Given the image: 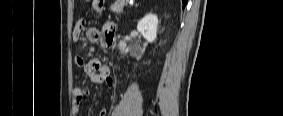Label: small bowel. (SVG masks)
<instances>
[{
	"instance_id": "small-bowel-1",
	"label": "small bowel",
	"mask_w": 283,
	"mask_h": 116,
	"mask_svg": "<svg viewBox=\"0 0 283 116\" xmlns=\"http://www.w3.org/2000/svg\"><path fill=\"white\" fill-rule=\"evenodd\" d=\"M94 4L95 9L100 11L103 8L104 1L95 0ZM84 26V20L78 21L72 33L74 41H79ZM114 31L115 25L108 21L101 28L91 27L87 29L86 35L90 41L100 42L102 45L110 47L114 44ZM75 63L78 67L84 69L86 76L91 82L104 84L108 89H111L114 86V79L111 76L109 68L105 66L100 59L95 58L86 61L82 56H77L75 58ZM72 92L74 97L73 112L74 115H79L80 107L84 99L90 95V91L82 87H75ZM106 114V109L103 108L98 115L105 116Z\"/></svg>"
}]
</instances>
